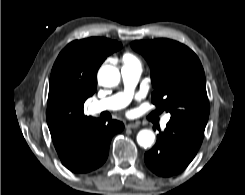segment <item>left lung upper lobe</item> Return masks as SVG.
<instances>
[{"instance_id":"1","label":"left lung upper lobe","mask_w":245,"mask_h":195,"mask_svg":"<svg viewBox=\"0 0 245 195\" xmlns=\"http://www.w3.org/2000/svg\"><path fill=\"white\" fill-rule=\"evenodd\" d=\"M131 47L141 53L151 68L154 87L151 100L171 119L200 127L207 124L209 102L202 64L184 44L169 40H137Z\"/></svg>"}]
</instances>
